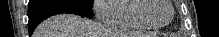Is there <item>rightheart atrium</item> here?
<instances>
[{"mask_svg": "<svg viewBox=\"0 0 219 37\" xmlns=\"http://www.w3.org/2000/svg\"><path fill=\"white\" fill-rule=\"evenodd\" d=\"M118 3V0H95L93 10L101 21L112 24L117 19Z\"/></svg>", "mask_w": 219, "mask_h": 37, "instance_id": "right-heart-atrium-1", "label": "right heart atrium"}]
</instances>
